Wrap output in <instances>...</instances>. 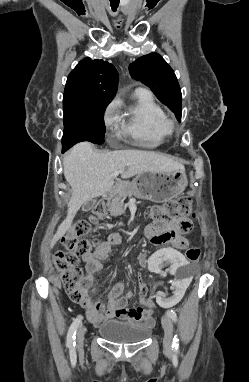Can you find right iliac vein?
Here are the masks:
<instances>
[{
	"instance_id": "obj_1",
	"label": "right iliac vein",
	"mask_w": 249,
	"mask_h": 382,
	"mask_svg": "<svg viewBox=\"0 0 249 382\" xmlns=\"http://www.w3.org/2000/svg\"><path fill=\"white\" fill-rule=\"evenodd\" d=\"M86 328L84 326L80 327L77 333V347L81 348L84 342Z\"/></svg>"
}]
</instances>
